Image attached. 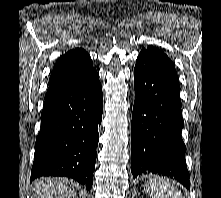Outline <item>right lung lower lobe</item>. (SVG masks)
Here are the masks:
<instances>
[{"label":"right lung lower lobe","mask_w":221,"mask_h":198,"mask_svg":"<svg viewBox=\"0 0 221 198\" xmlns=\"http://www.w3.org/2000/svg\"><path fill=\"white\" fill-rule=\"evenodd\" d=\"M102 113V88L96 70L73 86L46 97L31 180L67 176L89 190Z\"/></svg>","instance_id":"1"}]
</instances>
